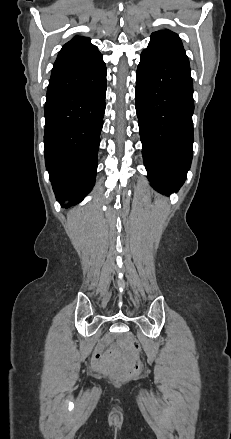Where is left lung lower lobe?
<instances>
[{
  "mask_svg": "<svg viewBox=\"0 0 231 439\" xmlns=\"http://www.w3.org/2000/svg\"><path fill=\"white\" fill-rule=\"evenodd\" d=\"M136 72L135 106L144 165L155 190L183 185L193 157V81L189 61L145 49Z\"/></svg>",
  "mask_w": 231,
  "mask_h": 439,
  "instance_id": "left-lung-lower-lobe-1",
  "label": "left lung lower lobe"
}]
</instances>
